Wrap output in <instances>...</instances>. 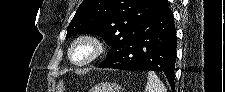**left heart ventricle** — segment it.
Instances as JSON below:
<instances>
[{"instance_id":"1","label":"left heart ventricle","mask_w":225,"mask_h":92,"mask_svg":"<svg viewBox=\"0 0 225 92\" xmlns=\"http://www.w3.org/2000/svg\"><path fill=\"white\" fill-rule=\"evenodd\" d=\"M90 53H91L90 47L86 45H79L75 48L73 55L76 60H82L85 59L87 56H89Z\"/></svg>"}]
</instances>
